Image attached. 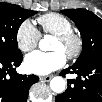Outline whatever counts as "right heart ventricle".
<instances>
[{
  "label": "right heart ventricle",
  "mask_w": 102,
  "mask_h": 102,
  "mask_svg": "<svg viewBox=\"0 0 102 102\" xmlns=\"http://www.w3.org/2000/svg\"><path fill=\"white\" fill-rule=\"evenodd\" d=\"M42 31L47 35L58 36L74 30L67 17L58 13H47L37 18Z\"/></svg>",
  "instance_id": "right-heart-ventricle-1"
}]
</instances>
